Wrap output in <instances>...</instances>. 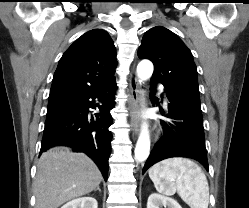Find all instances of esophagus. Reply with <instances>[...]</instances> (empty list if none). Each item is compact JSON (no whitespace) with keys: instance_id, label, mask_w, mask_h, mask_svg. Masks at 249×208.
I'll use <instances>...</instances> for the list:
<instances>
[{"instance_id":"obj_1","label":"esophagus","mask_w":249,"mask_h":208,"mask_svg":"<svg viewBox=\"0 0 249 208\" xmlns=\"http://www.w3.org/2000/svg\"><path fill=\"white\" fill-rule=\"evenodd\" d=\"M130 99L128 108L130 111V124L134 133L139 132L140 119H139V93L140 85L136 72L133 70L129 78Z\"/></svg>"}]
</instances>
